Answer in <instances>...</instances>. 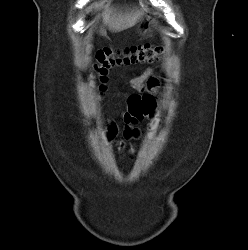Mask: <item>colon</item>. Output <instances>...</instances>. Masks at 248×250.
<instances>
[{
	"label": "colon",
	"instance_id": "colon-1",
	"mask_svg": "<svg viewBox=\"0 0 248 250\" xmlns=\"http://www.w3.org/2000/svg\"><path fill=\"white\" fill-rule=\"evenodd\" d=\"M163 49L157 45H133L114 51L102 48L96 52V75L101 92L105 89L106 76L109 69L120 65H135L158 61ZM129 109L138 118L148 117L153 109L154 99L149 94H133L128 99Z\"/></svg>",
	"mask_w": 248,
	"mask_h": 250
}]
</instances>
